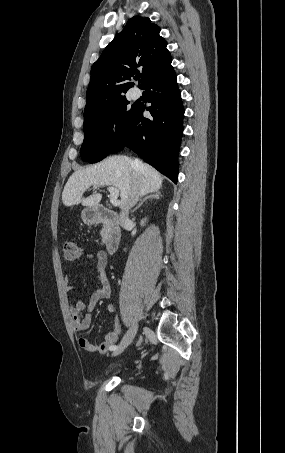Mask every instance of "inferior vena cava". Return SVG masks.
I'll return each mask as SVG.
<instances>
[{
    "label": "inferior vena cava",
    "mask_w": 285,
    "mask_h": 453,
    "mask_svg": "<svg viewBox=\"0 0 285 453\" xmlns=\"http://www.w3.org/2000/svg\"><path fill=\"white\" fill-rule=\"evenodd\" d=\"M133 166L135 168H140L142 166V163L138 160V159H134L133 162H132ZM139 182L138 180H136L134 182V184L132 185V190H131V193L129 195V199L127 201V204L126 206L123 208L121 214H120V223L123 225V224H126L127 222H129V218H128V214H129V210L131 209V207H133L137 201L139 200Z\"/></svg>",
    "instance_id": "602c4592"
}]
</instances>
